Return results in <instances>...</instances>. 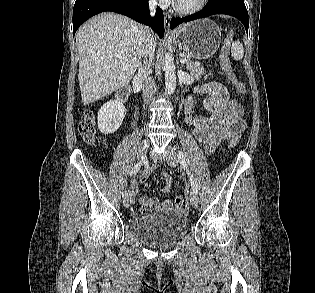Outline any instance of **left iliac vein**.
<instances>
[{
	"label": "left iliac vein",
	"mask_w": 315,
	"mask_h": 293,
	"mask_svg": "<svg viewBox=\"0 0 315 293\" xmlns=\"http://www.w3.org/2000/svg\"><path fill=\"white\" fill-rule=\"evenodd\" d=\"M166 162L171 167H176L178 165V157L175 149L173 147H168V153L166 154ZM190 202L194 208H198L199 206V198L197 194L191 192L190 194Z\"/></svg>",
	"instance_id": "left-iliac-vein-1"
}]
</instances>
